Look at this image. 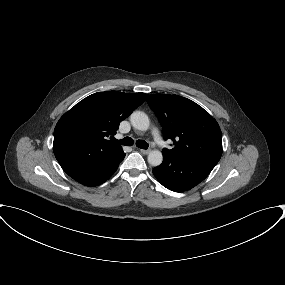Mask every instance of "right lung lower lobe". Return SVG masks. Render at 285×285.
Here are the masks:
<instances>
[{"label":"right lung lower lobe","instance_id":"1","mask_svg":"<svg viewBox=\"0 0 285 285\" xmlns=\"http://www.w3.org/2000/svg\"><path fill=\"white\" fill-rule=\"evenodd\" d=\"M125 153L97 161H85L74 157L58 161L62 169L75 181L86 186H97L108 180L124 159Z\"/></svg>","mask_w":285,"mask_h":285}]
</instances>
